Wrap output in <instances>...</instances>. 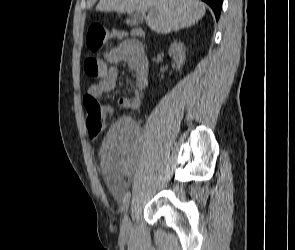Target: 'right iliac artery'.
Listing matches in <instances>:
<instances>
[{
  "label": "right iliac artery",
  "mask_w": 295,
  "mask_h": 250,
  "mask_svg": "<svg viewBox=\"0 0 295 250\" xmlns=\"http://www.w3.org/2000/svg\"><path fill=\"white\" fill-rule=\"evenodd\" d=\"M129 202H130V192H127L126 195L124 196V200H123V214L125 215L129 206Z\"/></svg>",
  "instance_id": "obj_1"
}]
</instances>
